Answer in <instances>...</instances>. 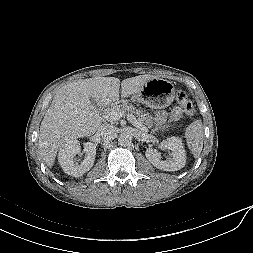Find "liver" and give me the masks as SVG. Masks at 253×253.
Wrapping results in <instances>:
<instances>
[{"label":"liver","instance_id":"1","mask_svg":"<svg viewBox=\"0 0 253 253\" xmlns=\"http://www.w3.org/2000/svg\"><path fill=\"white\" fill-rule=\"evenodd\" d=\"M153 75H138L124 79L93 77L69 83L55 94L41 122L39 150L44 162L52 167L58 150L70 140L90 136L101 126V117L91 102L106 106L121 97L137 93Z\"/></svg>","mask_w":253,"mask_h":253}]
</instances>
